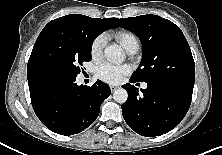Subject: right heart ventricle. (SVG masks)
Segmentation results:
<instances>
[{
	"label": "right heart ventricle",
	"instance_id": "obj_1",
	"mask_svg": "<svg viewBox=\"0 0 222 155\" xmlns=\"http://www.w3.org/2000/svg\"><path fill=\"white\" fill-rule=\"evenodd\" d=\"M114 38L121 44V46L126 50L130 51L132 49L139 48V39L137 36L128 30H120L114 33Z\"/></svg>",
	"mask_w": 222,
	"mask_h": 155
}]
</instances>
